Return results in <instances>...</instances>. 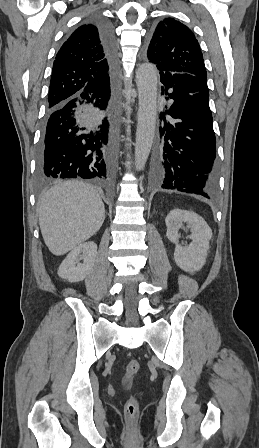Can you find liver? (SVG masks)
<instances>
[{
    "mask_svg": "<svg viewBox=\"0 0 259 448\" xmlns=\"http://www.w3.org/2000/svg\"><path fill=\"white\" fill-rule=\"evenodd\" d=\"M39 226L54 256H63L100 230L104 204L96 190L77 182H59L42 194L38 204Z\"/></svg>",
    "mask_w": 259,
    "mask_h": 448,
    "instance_id": "6515ba94",
    "label": "liver"
}]
</instances>
